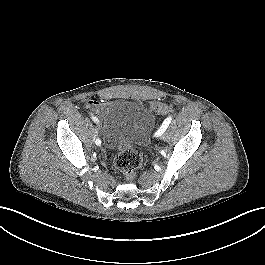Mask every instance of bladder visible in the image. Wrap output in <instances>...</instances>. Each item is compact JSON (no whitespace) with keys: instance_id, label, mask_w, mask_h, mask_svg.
Segmentation results:
<instances>
[{"instance_id":"obj_1","label":"bladder","mask_w":265,"mask_h":265,"mask_svg":"<svg viewBox=\"0 0 265 265\" xmlns=\"http://www.w3.org/2000/svg\"><path fill=\"white\" fill-rule=\"evenodd\" d=\"M155 123L153 112L144 104L134 101L114 100L104 122L106 144L121 150L145 146Z\"/></svg>"}]
</instances>
